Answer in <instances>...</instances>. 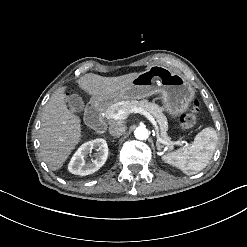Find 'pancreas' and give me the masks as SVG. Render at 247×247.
<instances>
[{
	"mask_svg": "<svg viewBox=\"0 0 247 247\" xmlns=\"http://www.w3.org/2000/svg\"><path fill=\"white\" fill-rule=\"evenodd\" d=\"M134 107L145 108L146 111L155 118V122L158 126V133L160 135L157 141V149L161 151L164 148H168V152L170 153L173 150V145L167 135L168 125L166 116L163 113V108H160L154 104H149L145 101H118L104 110V118H107L109 119V122H112L111 116L114 114H118L119 110H129Z\"/></svg>",
	"mask_w": 247,
	"mask_h": 247,
	"instance_id": "pancreas-1",
	"label": "pancreas"
}]
</instances>
